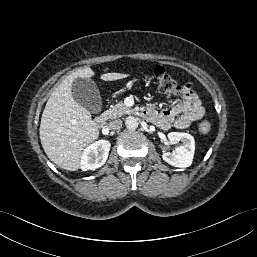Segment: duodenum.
<instances>
[{"label": "duodenum", "instance_id": "1", "mask_svg": "<svg viewBox=\"0 0 257 257\" xmlns=\"http://www.w3.org/2000/svg\"><path fill=\"white\" fill-rule=\"evenodd\" d=\"M141 115L143 116L144 113H141ZM94 122L99 129L103 130L107 126V117L105 114H101L95 117Z\"/></svg>", "mask_w": 257, "mask_h": 257}]
</instances>
